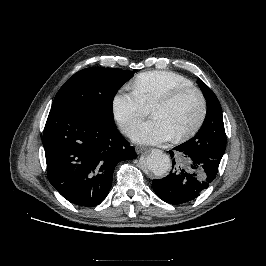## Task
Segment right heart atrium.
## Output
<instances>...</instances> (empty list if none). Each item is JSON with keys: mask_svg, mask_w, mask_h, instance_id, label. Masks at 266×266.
I'll return each mask as SVG.
<instances>
[{"mask_svg": "<svg viewBox=\"0 0 266 266\" xmlns=\"http://www.w3.org/2000/svg\"><path fill=\"white\" fill-rule=\"evenodd\" d=\"M114 119L125 134L147 114V106L133 90H118L111 102Z\"/></svg>", "mask_w": 266, "mask_h": 266, "instance_id": "d8ad5b80", "label": "right heart atrium"}]
</instances>
